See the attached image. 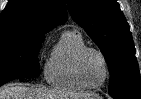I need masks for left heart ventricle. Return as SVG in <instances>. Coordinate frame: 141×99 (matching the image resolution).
<instances>
[{
    "mask_svg": "<svg viewBox=\"0 0 141 99\" xmlns=\"http://www.w3.org/2000/svg\"><path fill=\"white\" fill-rule=\"evenodd\" d=\"M82 75L90 85L100 84L105 76V69L102 59L93 52L86 54L82 61Z\"/></svg>",
    "mask_w": 141,
    "mask_h": 99,
    "instance_id": "1",
    "label": "left heart ventricle"
}]
</instances>
